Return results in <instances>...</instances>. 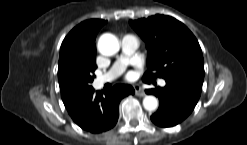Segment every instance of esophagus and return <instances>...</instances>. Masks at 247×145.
Here are the masks:
<instances>
[{"label":"esophagus","mask_w":247,"mask_h":145,"mask_svg":"<svg viewBox=\"0 0 247 145\" xmlns=\"http://www.w3.org/2000/svg\"><path fill=\"white\" fill-rule=\"evenodd\" d=\"M134 89H135V94H136L137 96H139V97L145 96V92L141 89V87H140L138 84H136V85L134 86Z\"/></svg>","instance_id":"1"}]
</instances>
